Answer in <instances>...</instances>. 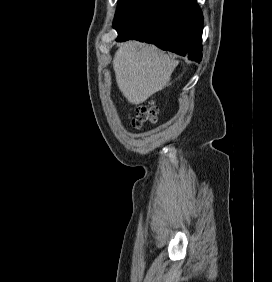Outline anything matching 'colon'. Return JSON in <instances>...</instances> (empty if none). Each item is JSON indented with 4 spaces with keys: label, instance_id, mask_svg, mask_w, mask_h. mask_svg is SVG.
Returning <instances> with one entry per match:
<instances>
[{
    "label": "colon",
    "instance_id": "obj_1",
    "mask_svg": "<svg viewBox=\"0 0 272 282\" xmlns=\"http://www.w3.org/2000/svg\"><path fill=\"white\" fill-rule=\"evenodd\" d=\"M156 116V110L153 107L142 106L137 110L136 116L132 120L135 128L141 127L142 124L151 122Z\"/></svg>",
    "mask_w": 272,
    "mask_h": 282
}]
</instances>
